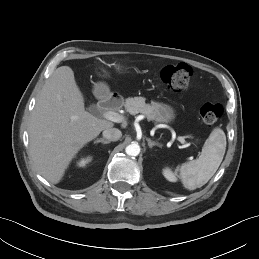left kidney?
<instances>
[{
	"label": "left kidney",
	"mask_w": 259,
	"mask_h": 259,
	"mask_svg": "<svg viewBox=\"0 0 259 259\" xmlns=\"http://www.w3.org/2000/svg\"><path fill=\"white\" fill-rule=\"evenodd\" d=\"M163 175L167 180H169L171 182L177 181L176 175L169 168L163 169Z\"/></svg>",
	"instance_id": "left-kidney-1"
}]
</instances>
